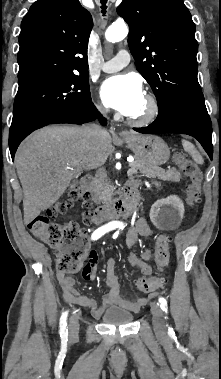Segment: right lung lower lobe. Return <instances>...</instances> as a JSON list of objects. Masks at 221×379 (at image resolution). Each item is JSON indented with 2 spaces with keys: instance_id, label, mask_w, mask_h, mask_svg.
<instances>
[{
  "instance_id": "98d812e1",
  "label": "right lung lower lobe",
  "mask_w": 221,
  "mask_h": 379,
  "mask_svg": "<svg viewBox=\"0 0 221 379\" xmlns=\"http://www.w3.org/2000/svg\"><path fill=\"white\" fill-rule=\"evenodd\" d=\"M96 118L99 119L101 124H103V125L107 124L106 119L102 117V115L95 108L94 104L91 102L88 105L82 107L81 109L74 110V111H71L70 113L63 114V115L58 116L56 118L50 119V120L44 122L39 127H37L36 129H39V128L44 127V126L49 125V124H55V123L83 124V123L95 120ZM24 138L18 140L17 142H15L13 144L9 143L11 157L13 160H14V155H15V152L17 150V147L19 146V144L21 143V141Z\"/></svg>"
}]
</instances>
